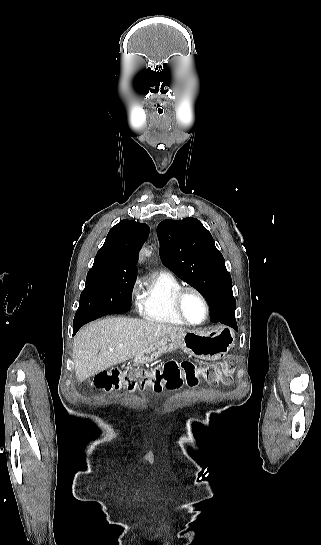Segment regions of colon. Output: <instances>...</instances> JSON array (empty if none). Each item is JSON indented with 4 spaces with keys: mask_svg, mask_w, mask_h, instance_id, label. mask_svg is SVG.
<instances>
[{
    "mask_svg": "<svg viewBox=\"0 0 321 545\" xmlns=\"http://www.w3.org/2000/svg\"><path fill=\"white\" fill-rule=\"evenodd\" d=\"M236 360L227 358L217 364L200 365L191 360H169L159 367L111 369L97 374L93 386L105 392L117 391L123 387L129 390L146 386L155 391L162 389L176 390L186 385L195 387L200 379L210 385L229 384L233 380V368Z\"/></svg>",
    "mask_w": 321,
    "mask_h": 545,
    "instance_id": "5ec220e1",
    "label": "colon"
}]
</instances>
